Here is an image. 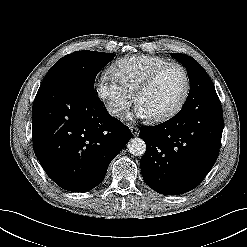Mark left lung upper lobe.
<instances>
[{
	"mask_svg": "<svg viewBox=\"0 0 247 247\" xmlns=\"http://www.w3.org/2000/svg\"><path fill=\"white\" fill-rule=\"evenodd\" d=\"M172 56L183 63V65L187 69L188 77L190 80L189 95L182 108L189 106L195 101V98L199 96L216 94L213 82L211 81L210 77L208 76L204 68L194 58L181 53H172ZM208 88H213L211 90H214V92H210Z\"/></svg>",
	"mask_w": 247,
	"mask_h": 247,
	"instance_id": "5c2ea615",
	"label": "left lung upper lobe"
}]
</instances>
